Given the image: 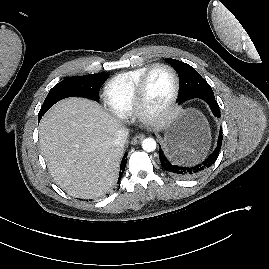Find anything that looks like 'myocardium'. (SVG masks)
I'll return each mask as SVG.
<instances>
[{
	"label": "myocardium",
	"mask_w": 269,
	"mask_h": 269,
	"mask_svg": "<svg viewBox=\"0 0 269 269\" xmlns=\"http://www.w3.org/2000/svg\"><path fill=\"white\" fill-rule=\"evenodd\" d=\"M156 68L167 69L173 77L174 85L172 93L169 99L166 101V103L159 109L151 110L146 105L145 90L149 75ZM179 91H180V78L176 70L166 63L152 64L146 69V71L143 73V75L141 76V78L137 83L134 93L133 112L141 121L145 123H151L161 120L164 117H166L174 107L179 95Z\"/></svg>",
	"instance_id": "myocardium-1"
}]
</instances>
